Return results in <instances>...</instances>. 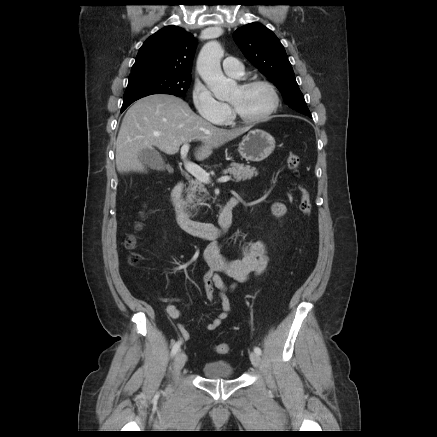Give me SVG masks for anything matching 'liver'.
Wrapping results in <instances>:
<instances>
[{
    "mask_svg": "<svg viewBox=\"0 0 437 437\" xmlns=\"http://www.w3.org/2000/svg\"><path fill=\"white\" fill-rule=\"evenodd\" d=\"M249 128L223 129L195 114L189 105L172 95L155 94L136 101L126 112L116 141L115 162L119 173L145 172L139 157L144 149L157 147L173 155L182 144L199 140L195 158L202 161Z\"/></svg>",
    "mask_w": 437,
    "mask_h": 437,
    "instance_id": "1",
    "label": "liver"
}]
</instances>
